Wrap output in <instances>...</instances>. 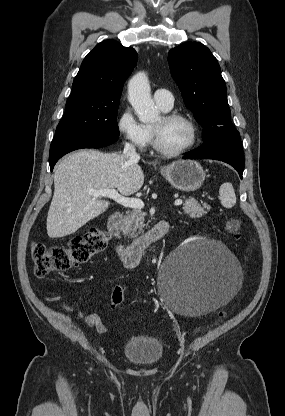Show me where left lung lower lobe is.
Instances as JSON below:
<instances>
[{"label": "left lung lower lobe", "mask_w": 285, "mask_h": 416, "mask_svg": "<svg viewBox=\"0 0 285 416\" xmlns=\"http://www.w3.org/2000/svg\"><path fill=\"white\" fill-rule=\"evenodd\" d=\"M184 159H214L233 166L242 179L244 152L239 135H228L212 139L201 147L188 152Z\"/></svg>", "instance_id": "0a47b994"}]
</instances>
